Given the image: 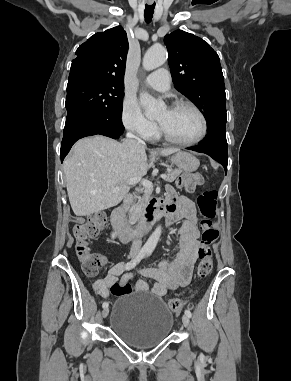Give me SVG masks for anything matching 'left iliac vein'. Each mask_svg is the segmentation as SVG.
<instances>
[{
	"mask_svg": "<svg viewBox=\"0 0 291 381\" xmlns=\"http://www.w3.org/2000/svg\"><path fill=\"white\" fill-rule=\"evenodd\" d=\"M182 322H183V325L185 327H188L189 326V323H190V320H189V317L187 315H183L182 316Z\"/></svg>",
	"mask_w": 291,
	"mask_h": 381,
	"instance_id": "obj_1",
	"label": "left iliac vein"
}]
</instances>
